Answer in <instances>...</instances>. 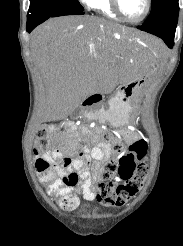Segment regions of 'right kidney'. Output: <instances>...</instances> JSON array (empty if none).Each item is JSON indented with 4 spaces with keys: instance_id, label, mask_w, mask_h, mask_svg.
Listing matches in <instances>:
<instances>
[{
    "instance_id": "1",
    "label": "right kidney",
    "mask_w": 183,
    "mask_h": 246,
    "mask_svg": "<svg viewBox=\"0 0 183 246\" xmlns=\"http://www.w3.org/2000/svg\"><path fill=\"white\" fill-rule=\"evenodd\" d=\"M50 130H53V126H52V127H50Z\"/></svg>"
}]
</instances>
